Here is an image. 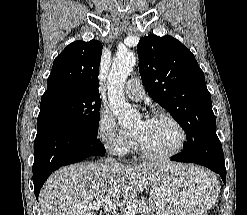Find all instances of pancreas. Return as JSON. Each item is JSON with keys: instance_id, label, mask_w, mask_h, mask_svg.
Here are the masks:
<instances>
[{"instance_id": "obj_1", "label": "pancreas", "mask_w": 247, "mask_h": 215, "mask_svg": "<svg viewBox=\"0 0 247 215\" xmlns=\"http://www.w3.org/2000/svg\"><path fill=\"white\" fill-rule=\"evenodd\" d=\"M133 204H135L137 206L136 211L140 215H155L154 208L152 207V205L149 202L136 199V200H133L132 202H130L128 205H133Z\"/></svg>"}]
</instances>
